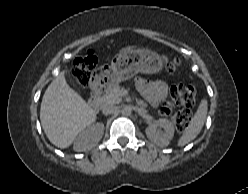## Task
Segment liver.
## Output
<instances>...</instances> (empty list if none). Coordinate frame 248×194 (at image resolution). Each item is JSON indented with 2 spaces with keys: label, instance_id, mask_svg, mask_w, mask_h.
Returning a JSON list of instances; mask_svg holds the SVG:
<instances>
[{
  "label": "liver",
  "instance_id": "liver-1",
  "mask_svg": "<svg viewBox=\"0 0 248 194\" xmlns=\"http://www.w3.org/2000/svg\"><path fill=\"white\" fill-rule=\"evenodd\" d=\"M96 118V112L69 87L64 72L59 73L46 89L40 107L41 125L49 141L68 148Z\"/></svg>",
  "mask_w": 248,
  "mask_h": 194
}]
</instances>
